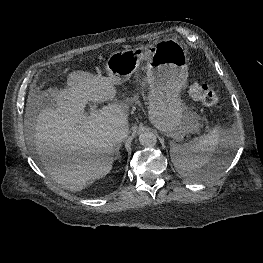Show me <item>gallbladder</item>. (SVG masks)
<instances>
[{"mask_svg":"<svg viewBox=\"0 0 263 263\" xmlns=\"http://www.w3.org/2000/svg\"><path fill=\"white\" fill-rule=\"evenodd\" d=\"M54 105H55V102H54L53 97H51L50 95L44 96V98L42 99V102H41V106L43 108L52 107Z\"/></svg>","mask_w":263,"mask_h":263,"instance_id":"bac80fb5","label":"gallbladder"}]
</instances>
